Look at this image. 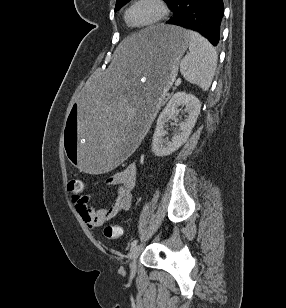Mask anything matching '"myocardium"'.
I'll return each mask as SVG.
<instances>
[{
	"label": "myocardium",
	"mask_w": 286,
	"mask_h": 308,
	"mask_svg": "<svg viewBox=\"0 0 286 308\" xmlns=\"http://www.w3.org/2000/svg\"><path fill=\"white\" fill-rule=\"evenodd\" d=\"M143 0H133L132 3L129 5V7L127 8L126 12H125V21L127 23V25L133 29H147L153 26L158 25L159 23H161L165 17L168 14V7L165 4L164 0H151L154 4H156V6L159 9V14L158 16L151 22L144 24V25H134L130 22L129 20V13L131 11V9L138 4L139 2H141Z\"/></svg>",
	"instance_id": "1"
}]
</instances>
